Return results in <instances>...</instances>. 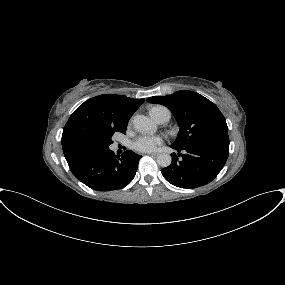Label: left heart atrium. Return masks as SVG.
Instances as JSON below:
<instances>
[{"label": "left heart atrium", "mask_w": 285, "mask_h": 285, "mask_svg": "<svg viewBox=\"0 0 285 285\" xmlns=\"http://www.w3.org/2000/svg\"><path fill=\"white\" fill-rule=\"evenodd\" d=\"M162 143V138L159 136L142 134L138 136L132 143V148L141 152H150Z\"/></svg>", "instance_id": "left-heart-atrium-1"}]
</instances>
